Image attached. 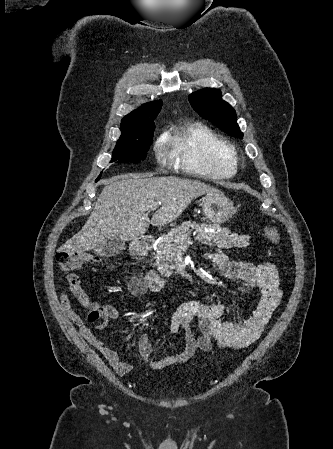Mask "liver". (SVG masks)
Instances as JSON below:
<instances>
[{
  "label": "liver",
  "mask_w": 333,
  "mask_h": 449,
  "mask_svg": "<svg viewBox=\"0 0 333 449\" xmlns=\"http://www.w3.org/2000/svg\"><path fill=\"white\" fill-rule=\"evenodd\" d=\"M217 192L200 181L176 177H112L86 224L59 251L83 253L116 236L124 241L136 240L146 233L150 223L161 226L172 222L194 199ZM159 202L161 208L153 214L150 222V206Z\"/></svg>",
  "instance_id": "6515ba94"
}]
</instances>
